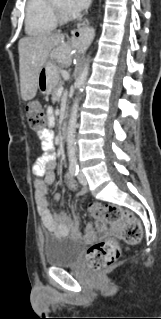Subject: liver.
I'll return each mask as SVG.
<instances>
[{
    "label": "liver",
    "instance_id": "liver-1",
    "mask_svg": "<svg viewBox=\"0 0 161 319\" xmlns=\"http://www.w3.org/2000/svg\"><path fill=\"white\" fill-rule=\"evenodd\" d=\"M63 34H41L24 37L18 43L21 97L24 101L35 97L38 76L53 48L64 42ZM66 65L70 63V53Z\"/></svg>",
    "mask_w": 161,
    "mask_h": 319
}]
</instances>
